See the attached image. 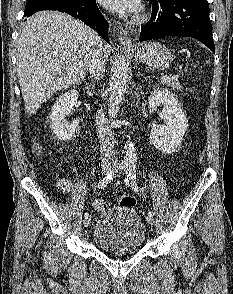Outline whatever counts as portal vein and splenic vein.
<instances>
[{
    "instance_id": "18ae733b",
    "label": "portal vein and splenic vein",
    "mask_w": 233,
    "mask_h": 294,
    "mask_svg": "<svg viewBox=\"0 0 233 294\" xmlns=\"http://www.w3.org/2000/svg\"><path fill=\"white\" fill-rule=\"evenodd\" d=\"M172 79H177L178 78V76H173V77H171ZM168 79H170V77L168 76V75H163L162 77H161V80L162 81H166V80H168Z\"/></svg>"
}]
</instances>
